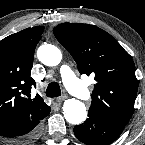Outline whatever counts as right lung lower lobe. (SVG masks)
I'll return each mask as SVG.
<instances>
[{
    "instance_id": "obj_1",
    "label": "right lung lower lobe",
    "mask_w": 145,
    "mask_h": 145,
    "mask_svg": "<svg viewBox=\"0 0 145 145\" xmlns=\"http://www.w3.org/2000/svg\"><path fill=\"white\" fill-rule=\"evenodd\" d=\"M50 111L51 108L46 105L41 113L22 125L0 128V138L13 143H31L39 135L40 121L45 118Z\"/></svg>"
}]
</instances>
